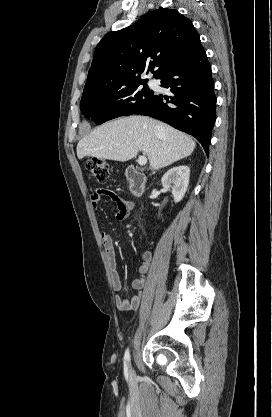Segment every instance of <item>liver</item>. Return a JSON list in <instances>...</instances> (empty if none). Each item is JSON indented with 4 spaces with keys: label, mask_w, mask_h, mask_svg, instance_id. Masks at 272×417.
<instances>
[{
    "label": "liver",
    "mask_w": 272,
    "mask_h": 417,
    "mask_svg": "<svg viewBox=\"0 0 272 417\" xmlns=\"http://www.w3.org/2000/svg\"><path fill=\"white\" fill-rule=\"evenodd\" d=\"M195 141L173 127L145 116H129L104 123L77 144V157L128 161L143 151L152 169L190 156Z\"/></svg>",
    "instance_id": "1"
}]
</instances>
